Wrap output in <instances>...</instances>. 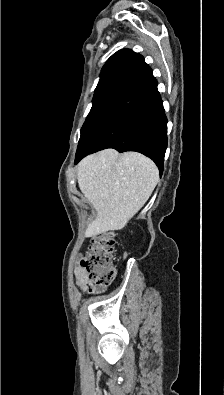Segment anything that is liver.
Here are the masks:
<instances>
[{
  "label": "liver",
  "instance_id": "1",
  "mask_svg": "<svg viewBox=\"0 0 224 395\" xmlns=\"http://www.w3.org/2000/svg\"><path fill=\"white\" fill-rule=\"evenodd\" d=\"M77 170L79 188L96 211L85 237L124 228L159 181L155 163L137 152L106 149L85 157Z\"/></svg>",
  "mask_w": 224,
  "mask_h": 395
}]
</instances>
